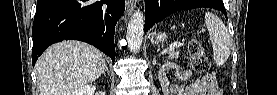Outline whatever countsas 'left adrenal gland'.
I'll return each mask as SVG.
<instances>
[{
	"mask_svg": "<svg viewBox=\"0 0 277 95\" xmlns=\"http://www.w3.org/2000/svg\"><path fill=\"white\" fill-rule=\"evenodd\" d=\"M152 63H153L154 65L156 64V59H155V58L153 59Z\"/></svg>",
	"mask_w": 277,
	"mask_h": 95,
	"instance_id": "a2214340",
	"label": "left adrenal gland"
}]
</instances>
